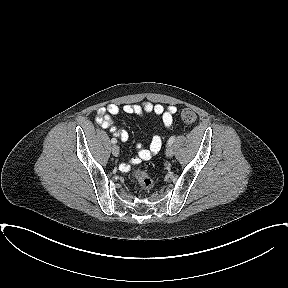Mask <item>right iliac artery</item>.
Here are the masks:
<instances>
[{"mask_svg": "<svg viewBox=\"0 0 288 288\" xmlns=\"http://www.w3.org/2000/svg\"><path fill=\"white\" fill-rule=\"evenodd\" d=\"M111 143H112V144H116V143H117V140H116L115 138H112V139H111Z\"/></svg>", "mask_w": 288, "mask_h": 288, "instance_id": "1", "label": "right iliac artery"}]
</instances>
